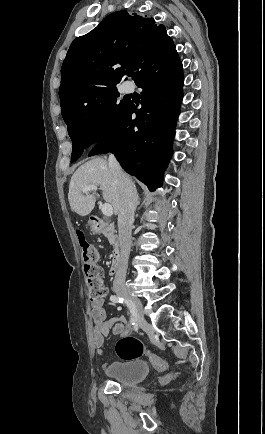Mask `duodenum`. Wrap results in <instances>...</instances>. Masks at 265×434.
Wrapping results in <instances>:
<instances>
[{
    "label": "duodenum",
    "mask_w": 265,
    "mask_h": 434,
    "mask_svg": "<svg viewBox=\"0 0 265 434\" xmlns=\"http://www.w3.org/2000/svg\"><path fill=\"white\" fill-rule=\"evenodd\" d=\"M91 229H94V231L105 234L109 237H112L115 233V227L111 224H106L102 221H97L96 219L90 220ZM120 262H121V251L117 246L114 247V253L113 258L111 261V265L109 268V272L111 274H117L119 268H120Z\"/></svg>",
    "instance_id": "obj_1"
}]
</instances>
